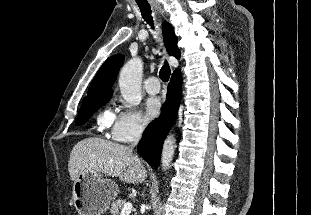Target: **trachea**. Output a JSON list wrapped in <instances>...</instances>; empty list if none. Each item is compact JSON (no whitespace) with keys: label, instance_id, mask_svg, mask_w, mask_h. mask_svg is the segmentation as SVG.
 Wrapping results in <instances>:
<instances>
[{"label":"trachea","instance_id":"obj_1","mask_svg":"<svg viewBox=\"0 0 311 215\" xmlns=\"http://www.w3.org/2000/svg\"><path fill=\"white\" fill-rule=\"evenodd\" d=\"M142 17L144 18V20L153 28V19L151 16V9L149 6H141L139 5ZM170 74H171V70L170 67L167 63V61H165L163 67L161 68L160 72H159V76L160 79L163 82H168L169 78H170Z\"/></svg>","mask_w":311,"mask_h":215}]
</instances>
